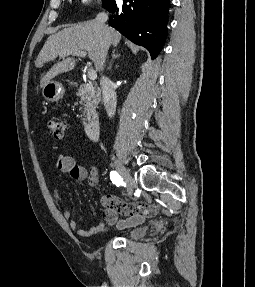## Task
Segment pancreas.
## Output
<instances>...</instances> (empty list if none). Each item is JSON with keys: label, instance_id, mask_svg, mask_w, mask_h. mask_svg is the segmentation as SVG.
Wrapping results in <instances>:
<instances>
[{"label": "pancreas", "instance_id": "pancreas-1", "mask_svg": "<svg viewBox=\"0 0 255 287\" xmlns=\"http://www.w3.org/2000/svg\"><path fill=\"white\" fill-rule=\"evenodd\" d=\"M76 96H79L80 104L83 106V116H85L83 124H87L96 114V108L101 100L100 92L93 84H83L78 88Z\"/></svg>", "mask_w": 255, "mask_h": 287}]
</instances>
